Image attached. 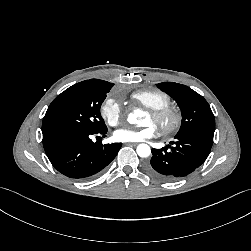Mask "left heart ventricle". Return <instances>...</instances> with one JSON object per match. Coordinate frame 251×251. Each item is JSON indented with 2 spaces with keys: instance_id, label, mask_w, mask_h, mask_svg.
Wrapping results in <instances>:
<instances>
[{
  "instance_id": "obj_1",
  "label": "left heart ventricle",
  "mask_w": 251,
  "mask_h": 251,
  "mask_svg": "<svg viewBox=\"0 0 251 251\" xmlns=\"http://www.w3.org/2000/svg\"><path fill=\"white\" fill-rule=\"evenodd\" d=\"M145 123H146V124L154 123V122H153V119H152V117H151L150 115H148V116L146 117Z\"/></svg>"
}]
</instances>
